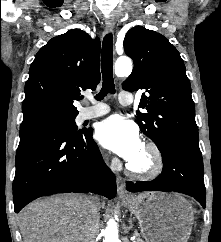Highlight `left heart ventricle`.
Segmentation results:
<instances>
[{"label": "left heart ventricle", "mask_w": 221, "mask_h": 242, "mask_svg": "<svg viewBox=\"0 0 221 242\" xmlns=\"http://www.w3.org/2000/svg\"><path fill=\"white\" fill-rule=\"evenodd\" d=\"M130 162L136 167H145L148 164L147 153L141 148L138 154Z\"/></svg>", "instance_id": "obj_1"}]
</instances>
